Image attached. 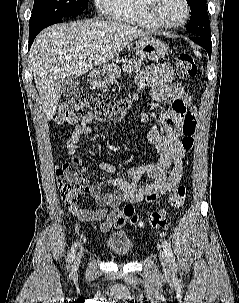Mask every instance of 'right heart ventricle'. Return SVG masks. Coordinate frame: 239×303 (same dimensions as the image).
<instances>
[{
  "label": "right heart ventricle",
  "instance_id": "1",
  "mask_svg": "<svg viewBox=\"0 0 239 303\" xmlns=\"http://www.w3.org/2000/svg\"><path fill=\"white\" fill-rule=\"evenodd\" d=\"M145 0H115L111 12L113 20L132 24L145 29H158L147 15Z\"/></svg>",
  "mask_w": 239,
  "mask_h": 303
}]
</instances>
